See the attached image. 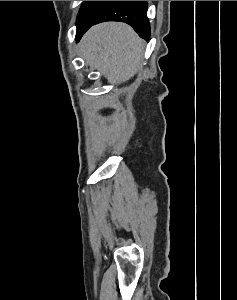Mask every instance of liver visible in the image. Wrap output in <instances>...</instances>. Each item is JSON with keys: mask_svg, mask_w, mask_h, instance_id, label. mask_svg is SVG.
<instances>
[{"mask_svg": "<svg viewBox=\"0 0 237 300\" xmlns=\"http://www.w3.org/2000/svg\"><path fill=\"white\" fill-rule=\"evenodd\" d=\"M80 49L109 83H126L143 63L145 41L125 23H100L85 33Z\"/></svg>", "mask_w": 237, "mask_h": 300, "instance_id": "1", "label": "liver"}]
</instances>
